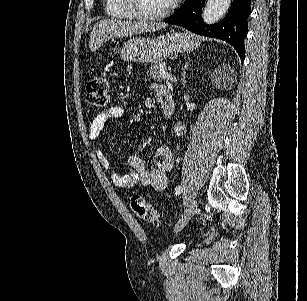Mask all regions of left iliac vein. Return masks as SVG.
<instances>
[{"instance_id": "4c4485c4", "label": "left iliac vein", "mask_w": 307, "mask_h": 301, "mask_svg": "<svg viewBox=\"0 0 307 301\" xmlns=\"http://www.w3.org/2000/svg\"><path fill=\"white\" fill-rule=\"evenodd\" d=\"M198 207V200L196 198H194L189 205L187 206V208L185 209V212L183 213V215L180 217V219L178 220L176 226H175V231L179 232L189 221V219L191 218V216L195 213V211L197 210Z\"/></svg>"}]
</instances>
